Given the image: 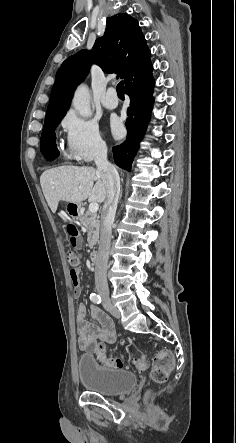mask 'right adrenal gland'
<instances>
[{
  "mask_svg": "<svg viewBox=\"0 0 236 443\" xmlns=\"http://www.w3.org/2000/svg\"><path fill=\"white\" fill-rule=\"evenodd\" d=\"M121 197H122V188H121V191H120V198L119 199H121Z\"/></svg>",
  "mask_w": 236,
  "mask_h": 443,
  "instance_id": "right-adrenal-gland-1",
  "label": "right adrenal gland"
}]
</instances>
